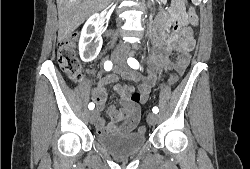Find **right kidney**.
<instances>
[{"instance_id":"1","label":"right kidney","mask_w":250,"mask_h":169,"mask_svg":"<svg viewBox=\"0 0 250 169\" xmlns=\"http://www.w3.org/2000/svg\"><path fill=\"white\" fill-rule=\"evenodd\" d=\"M99 18V14H92L81 30L79 54L84 62L94 60L102 48L103 40L100 34ZM93 38H95L94 42H92Z\"/></svg>"}]
</instances>
